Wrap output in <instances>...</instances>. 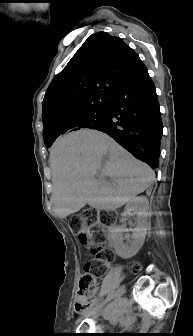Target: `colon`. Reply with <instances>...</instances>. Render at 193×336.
Returning <instances> with one entry per match:
<instances>
[{
	"label": "colon",
	"mask_w": 193,
	"mask_h": 336,
	"mask_svg": "<svg viewBox=\"0 0 193 336\" xmlns=\"http://www.w3.org/2000/svg\"><path fill=\"white\" fill-rule=\"evenodd\" d=\"M108 221V213L95 210H89L83 214H76L70 221V226L77 231L81 243L90 248L92 254L96 256L102 265H105L110 258L105 247L106 233L103 228ZM93 267L94 265L90 262L84 265V273L80 277L77 301L75 304V311L77 313L92 306V302L86 300L85 296L95 285V276L91 272ZM130 270L134 274L138 273L141 270V265L134 263L131 265Z\"/></svg>",
	"instance_id": "obj_1"
}]
</instances>
